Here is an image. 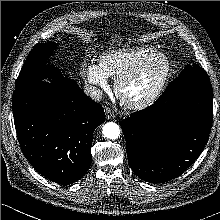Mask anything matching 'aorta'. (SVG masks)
I'll use <instances>...</instances> for the list:
<instances>
[{
  "mask_svg": "<svg viewBox=\"0 0 220 220\" xmlns=\"http://www.w3.org/2000/svg\"><path fill=\"white\" fill-rule=\"evenodd\" d=\"M120 128L119 126L114 122H108L103 126V134L104 137L115 140L120 136Z\"/></svg>",
  "mask_w": 220,
  "mask_h": 220,
  "instance_id": "762f6f07",
  "label": "aorta"
}]
</instances>
